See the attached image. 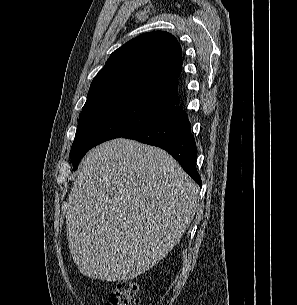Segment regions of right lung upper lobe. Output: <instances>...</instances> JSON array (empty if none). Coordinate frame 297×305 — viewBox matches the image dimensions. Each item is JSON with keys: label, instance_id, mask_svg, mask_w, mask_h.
Instances as JSON below:
<instances>
[{"label": "right lung upper lobe", "instance_id": "cb5924a9", "mask_svg": "<svg viewBox=\"0 0 297 305\" xmlns=\"http://www.w3.org/2000/svg\"><path fill=\"white\" fill-rule=\"evenodd\" d=\"M182 50L176 38L164 31L138 36L114 51L93 79L84 107L123 96L179 103L178 78Z\"/></svg>", "mask_w": 297, "mask_h": 305}]
</instances>
